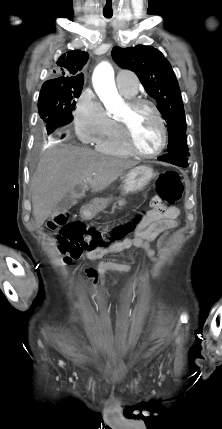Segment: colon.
<instances>
[{"label": "colon", "instance_id": "5ec220e1", "mask_svg": "<svg viewBox=\"0 0 222 429\" xmlns=\"http://www.w3.org/2000/svg\"><path fill=\"white\" fill-rule=\"evenodd\" d=\"M159 197L161 200L173 204L178 202L183 195V183L181 176L176 171L161 173L157 179ZM138 219L126 222L112 228H95L86 226L75 220H70L66 215H58L50 223L51 228H60L57 236L59 249L66 261L78 259L83 252H93L107 249L127 239Z\"/></svg>", "mask_w": 222, "mask_h": 429}]
</instances>
